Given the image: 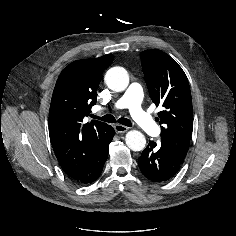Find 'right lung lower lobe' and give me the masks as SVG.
<instances>
[{"mask_svg":"<svg viewBox=\"0 0 236 236\" xmlns=\"http://www.w3.org/2000/svg\"><path fill=\"white\" fill-rule=\"evenodd\" d=\"M114 136V129L109 126L102 140V146L97 150L84 170L77 176L72 177L76 182L87 184L95 181L101 174L104 163L108 157L109 144Z\"/></svg>","mask_w":236,"mask_h":236,"instance_id":"1","label":"right lung lower lobe"}]
</instances>
